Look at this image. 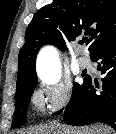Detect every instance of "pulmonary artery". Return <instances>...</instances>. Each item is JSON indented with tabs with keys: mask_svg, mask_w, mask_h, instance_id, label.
<instances>
[{
	"mask_svg": "<svg viewBox=\"0 0 116 134\" xmlns=\"http://www.w3.org/2000/svg\"><path fill=\"white\" fill-rule=\"evenodd\" d=\"M78 64L81 68H88L91 66L90 59L87 56H80L78 58Z\"/></svg>",
	"mask_w": 116,
	"mask_h": 134,
	"instance_id": "obj_1",
	"label": "pulmonary artery"
}]
</instances>
